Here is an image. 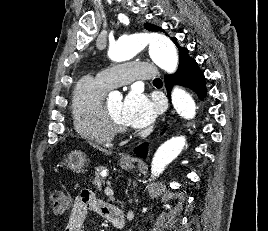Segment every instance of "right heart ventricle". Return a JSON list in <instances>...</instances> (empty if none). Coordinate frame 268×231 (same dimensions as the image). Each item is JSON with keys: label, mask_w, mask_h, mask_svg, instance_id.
Masks as SVG:
<instances>
[{"label": "right heart ventricle", "mask_w": 268, "mask_h": 231, "mask_svg": "<svg viewBox=\"0 0 268 231\" xmlns=\"http://www.w3.org/2000/svg\"><path fill=\"white\" fill-rule=\"evenodd\" d=\"M109 89L98 78L87 76L76 85L71 101L75 131L97 144H109L115 134L108 123L103 104Z\"/></svg>", "instance_id": "e07e8e85"}]
</instances>
